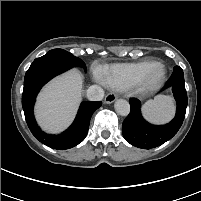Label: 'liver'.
<instances>
[{
  "mask_svg": "<svg viewBox=\"0 0 201 201\" xmlns=\"http://www.w3.org/2000/svg\"><path fill=\"white\" fill-rule=\"evenodd\" d=\"M83 77L72 70L53 79L38 96L35 115L41 127L56 133L67 127L81 101Z\"/></svg>",
  "mask_w": 201,
  "mask_h": 201,
  "instance_id": "1",
  "label": "liver"
}]
</instances>
